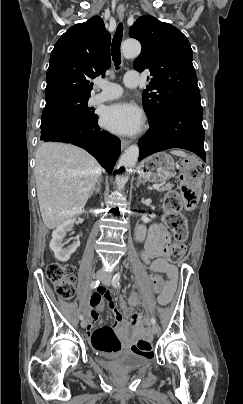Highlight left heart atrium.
I'll use <instances>...</instances> for the list:
<instances>
[{"instance_id":"left-heart-atrium-1","label":"left heart atrium","mask_w":243,"mask_h":404,"mask_svg":"<svg viewBox=\"0 0 243 404\" xmlns=\"http://www.w3.org/2000/svg\"><path fill=\"white\" fill-rule=\"evenodd\" d=\"M103 127L120 135H135L142 130L144 114L131 101H117L103 108L101 112Z\"/></svg>"}]
</instances>
